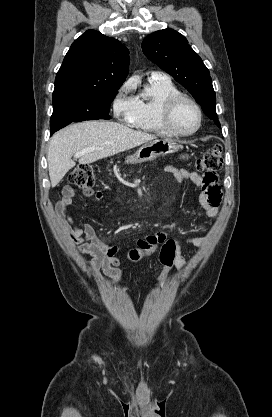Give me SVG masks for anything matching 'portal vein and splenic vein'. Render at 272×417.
I'll list each match as a JSON object with an SVG mask.
<instances>
[{"mask_svg":"<svg viewBox=\"0 0 272 417\" xmlns=\"http://www.w3.org/2000/svg\"><path fill=\"white\" fill-rule=\"evenodd\" d=\"M93 149H91V148H88V149H84V150H82V151H79V152H77V153H75L74 154V158H79V157H81L82 155H84L85 153H89V152H91Z\"/></svg>","mask_w":272,"mask_h":417,"instance_id":"1","label":"portal vein and splenic vein"}]
</instances>
